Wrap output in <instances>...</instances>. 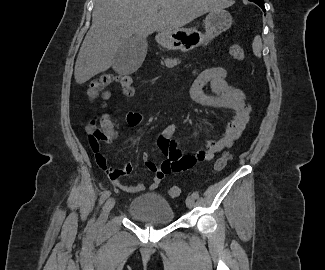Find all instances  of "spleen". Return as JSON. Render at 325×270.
Masks as SVG:
<instances>
[{
  "mask_svg": "<svg viewBox=\"0 0 325 270\" xmlns=\"http://www.w3.org/2000/svg\"><path fill=\"white\" fill-rule=\"evenodd\" d=\"M252 48H253L254 54L257 57H261V51H262L263 45H262L261 37L259 35H257L254 38L253 43H252Z\"/></svg>",
  "mask_w": 325,
  "mask_h": 270,
  "instance_id": "3e777b00",
  "label": "spleen"
}]
</instances>
